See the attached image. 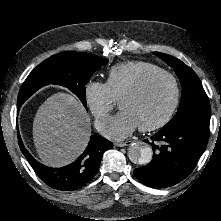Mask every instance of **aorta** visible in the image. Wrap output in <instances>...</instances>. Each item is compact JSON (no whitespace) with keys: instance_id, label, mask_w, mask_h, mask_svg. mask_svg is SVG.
Wrapping results in <instances>:
<instances>
[{"instance_id":"aorta-1","label":"aorta","mask_w":221,"mask_h":221,"mask_svg":"<svg viewBox=\"0 0 221 221\" xmlns=\"http://www.w3.org/2000/svg\"><path fill=\"white\" fill-rule=\"evenodd\" d=\"M127 154L134 164L146 165L152 160L153 150L146 143L135 142L129 146Z\"/></svg>"}]
</instances>
